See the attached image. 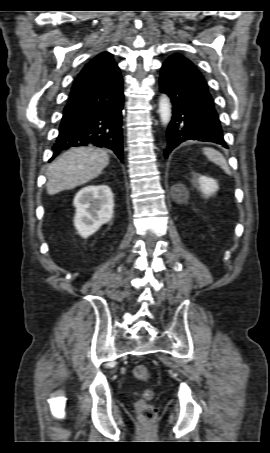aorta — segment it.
Returning <instances> with one entry per match:
<instances>
[{"mask_svg":"<svg viewBox=\"0 0 270 453\" xmlns=\"http://www.w3.org/2000/svg\"><path fill=\"white\" fill-rule=\"evenodd\" d=\"M159 115L163 125H167L172 116L171 102L166 94H161L159 98Z\"/></svg>","mask_w":270,"mask_h":453,"instance_id":"762f6f07","label":"aorta"}]
</instances>
